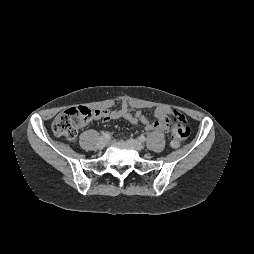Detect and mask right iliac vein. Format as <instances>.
Here are the masks:
<instances>
[{
	"label": "right iliac vein",
	"instance_id": "obj_1",
	"mask_svg": "<svg viewBox=\"0 0 254 254\" xmlns=\"http://www.w3.org/2000/svg\"><path fill=\"white\" fill-rule=\"evenodd\" d=\"M107 145L106 138H101L98 142V148L103 149Z\"/></svg>",
	"mask_w": 254,
	"mask_h": 254
}]
</instances>
